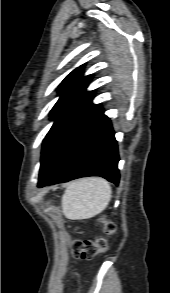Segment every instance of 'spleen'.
<instances>
[{"label":"spleen","instance_id":"3e777b00","mask_svg":"<svg viewBox=\"0 0 170 293\" xmlns=\"http://www.w3.org/2000/svg\"><path fill=\"white\" fill-rule=\"evenodd\" d=\"M112 197L110 184L103 178H82L71 182L62 198V208L69 219H88L101 213Z\"/></svg>","mask_w":170,"mask_h":293}]
</instances>
